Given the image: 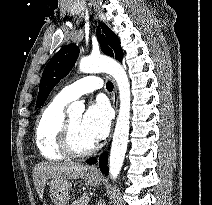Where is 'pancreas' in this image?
I'll return each instance as SVG.
<instances>
[{
	"mask_svg": "<svg viewBox=\"0 0 212 205\" xmlns=\"http://www.w3.org/2000/svg\"><path fill=\"white\" fill-rule=\"evenodd\" d=\"M89 198L86 196L81 197L78 200H75L72 205H88Z\"/></svg>",
	"mask_w": 212,
	"mask_h": 205,
	"instance_id": "cf45deb5",
	"label": "pancreas"
}]
</instances>
